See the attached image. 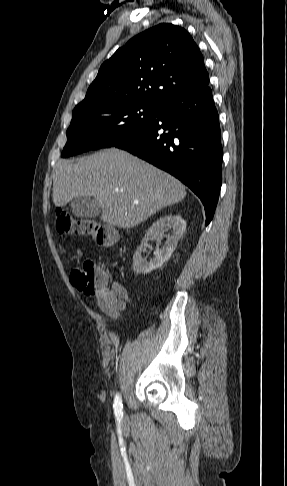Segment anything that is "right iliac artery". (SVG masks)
I'll return each instance as SVG.
<instances>
[{
	"label": "right iliac artery",
	"instance_id": "82829eb1",
	"mask_svg": "<svg viewBox=\"0 0 287 486\" xmlns=\"http://www.w3.org/2000/svg\"><path fill=\"white\" fill-rule=\"evenodd\" d=\"M114 412L117 417H121L123 415V405L119 394L116 395L114 400Z\"/></svg>",
	"mask_w": 287,
	"mask_h": 486
}]
</instances>
